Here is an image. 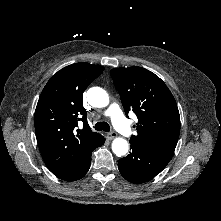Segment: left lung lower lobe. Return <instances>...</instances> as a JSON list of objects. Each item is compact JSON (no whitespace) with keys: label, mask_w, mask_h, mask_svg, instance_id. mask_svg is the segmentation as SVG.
Returning <instances> with one entry per match:
<instances>
[{"label":"left lung lower lobe","mask_w":221,"mask_h":221,"mask_svg":"<svg viewBox=\"0 0 221 221\" xmlns=\"http://www.w3.org/2000/svg\"><path fill=\"white\" fill-rule=\"evenodd\" d=\"M129 155L118 161L121 175L131 183H143L159 174L171 160L147 147L132 143Z\"/></svg>","instance_id":"0a47b994"}]
</instances>
